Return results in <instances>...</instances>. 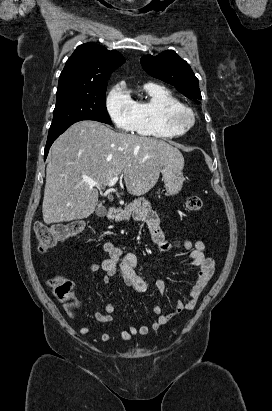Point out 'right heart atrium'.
I'll list each match as a JSON object with an SVG mask.
<instances>
[{
  "instance_id": "right-heart-atrium-1",
  "label": "right heart atrium",
  "mask_w": 272,
  "mask_h": 411,
  "mask_svg": "<svg viewBox=\"0 0 272 411\" xmlns=\"http://www.w3.org/2000/svg\"><path fill=\"white\" fill-rule=\"evenodd\" d=\"M108 116L120 131H133L135 124L134 103L123 85L116 84L105 99Z\"/></svg>"
}]
</instances>
